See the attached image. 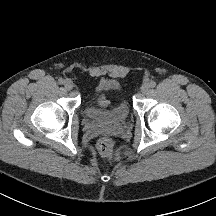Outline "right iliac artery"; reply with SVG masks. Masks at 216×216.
<instances>
[{"mask_svg": "<svg viewBox=\"0 0 216 216\" xmlns=\"http://www.w3.org/2000/svg\"><path fill=\"white\" fill-rule=\"evenodd\" d=\"M58 83H59L60 85H62V84H64V80H63L62 78H60V79L58 80Z\"/></svg>", "mask_w": 216, "mask_h": 216, "instance_id": "1", "label": "right iliac artery"}]
</instances>
